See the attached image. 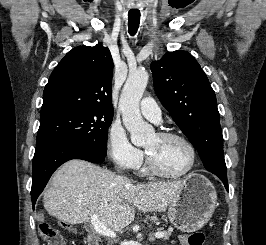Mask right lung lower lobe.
I'll use <instances>...</instances> for the list:
<instances>
[{
	"instance_id": "98d812e1",
	"label": "right lung lower lobe",
	"mask_w": 266,
	"mask_h": 245,
	"mask_svg": "<svg viewBox=\"0 0 266 245\" xmlns=\"http://www.w3.org/2000/svg\"><path fill=\"white\" fill-rule=\"evenodd\" d=\"M105 156L87 146L69 140H55L36 147L33 158L31 189L33 209L50 176L61 164L71 159L102 163Z\"/></svg>"
}]
</instances>
